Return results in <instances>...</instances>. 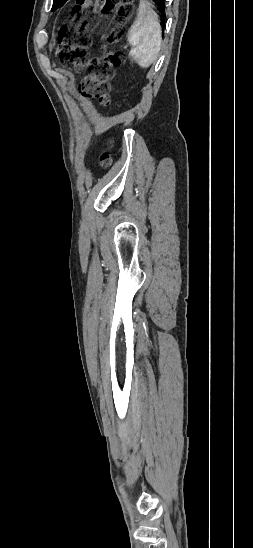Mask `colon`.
I'll return each mask as SVG.
<instances>
[{"mask_svg":"<svg viewBox=\"0 0 253 548\" xmlns=\"http://www.w3.org/2000/svg\"><path fill=\"white\" fill-rule=\"evenodd\" d=\"M113 11L121 22L127 21L133 12L132 0H76L73 8V25L63 26L58 34L56 56L59 62L72 70H85L80 84L81 95L97 100L101 105L110 103V82L116 67L121 65L122 57L108 52L102 57L90 58L91 37L88 30L97 22L98 10ZM119 31L113 30L108 41H116ZM101 164L108 166L110 155H101Z\"/></svg>","mask_w":253,"mask_h":548,"instance_id":"1","label":"colon"}]
</instances>
